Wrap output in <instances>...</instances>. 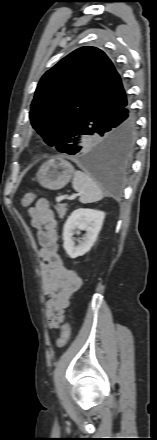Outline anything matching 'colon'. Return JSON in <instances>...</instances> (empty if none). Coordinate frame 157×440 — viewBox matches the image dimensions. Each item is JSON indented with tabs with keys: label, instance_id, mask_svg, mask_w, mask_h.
Returning a JSON list of instances; mask_svg holds the SVG:
<instances>
[{
	"label": "colon",
	"instance_id": "colon-1",
	"mask_svg": "<svg viewBox=\"0 0 157 440\" xmlns=\"http://www.w3.org/2000/svg\"><path fill=\"white\" fill-rule=\"evenodd\" d=\"M35 197L36 196L33 193H26L22 197V200H21L22 206H24V207L29 206L35 200ZM69 339H70V326L66 322L62 326L61 335L56 342L57 347L61 348V347L65 346L67 344V342L69 341Z\"/></svg>",
	"mask_w": 157,
	"mask_h": 440
}]
</instances>
